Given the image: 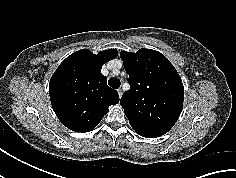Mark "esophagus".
I'll return each mask as SVG.
<instances>
[{
  "instance_id": "obj_1",
  "label": "esophagus",
  "mask_w": 236,
  "mask_h": 178,
  "mask_svg": "<svg viewBox=\"0 0 236 178\" xmlns=\"http://www.w3.org/2000/svg\"><path fill=\"white\" fill-rule=\"evenodd\" d=\"M117 92H118V95H119V98H121L122 97V89L121 88H119L118 90H117Z\"/></svg>"
}]
</instances>
